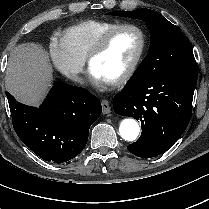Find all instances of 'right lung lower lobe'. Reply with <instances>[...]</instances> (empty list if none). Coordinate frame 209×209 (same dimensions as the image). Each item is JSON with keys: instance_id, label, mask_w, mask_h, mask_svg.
Returning <instances> with one entry per match:
<instances>
[{"instance_id": "98d812e1", "label": "right lung lower lobe", "mask_w": 209, "mask_h": 209, "mask_svg": "<svg viewBox=\"0 0 209 209\" xmlns=\"http://www.w3.org/2000/svg\"><path fill=\"white\" fill-rule=\"evenodd\" d=\"M14 130L45 161L63 163L86 146L91 124L101 115L100 101L84 88L55 84L39 108L17 103L6 92Z\"/></svg>"}]
</instances>
